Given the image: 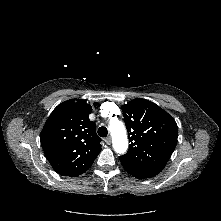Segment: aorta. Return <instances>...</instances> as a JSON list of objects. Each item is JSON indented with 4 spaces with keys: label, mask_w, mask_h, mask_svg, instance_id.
Here are the masks:
<instances>
[{
    "label": "aorta",
    "mask_w": 221,
    "mask_h": 221,
    "mask_svg": "<svg viewBox=\"0 0 221 221\" xmlns=\"http://www.w3.org/2000/svg\"><path fill=\"white\" fill-rule=\"evenodd\" d=\"M109 130L112 136V144L115 152L124 154L128 148L127 134L124 124L119 120L111 121Z\"/></svg>",
    "instance_id": "1"
}]
</instances>
